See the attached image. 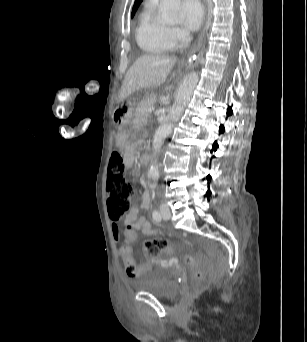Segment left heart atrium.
Returning a JSON list of instances; mask_svg holds the SVG:
<instances>
[{"label": "left heart atrium", "instance_id": "1", "mask_svg": "<svg viewBox=\"0 0 307 342\" xmlns=\"http://www.w3.org/2000/svg\"><path fill=\"white\" fill-rule=\"evenodd\" d=\"M180 33L183 43L190 42L204 20V9L198 1H187L181 7Z\"/></svg>", "mask_w": 307, "mask_h": 342}]
</instances>
